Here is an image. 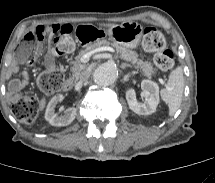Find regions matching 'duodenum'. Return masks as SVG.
Masks as SVG:
<instances>
[{
    "instance_id": "duodenum-1",
    "label": "duodenum",
    "mask_w": 215,
    "mask_h": 183,
    "mask_svg": "<svg viewBox=\"0 0 215 183\" xmlns=\"http://www.w3.org/2000/svg\"><path fill=\"white\" fill-rule=\"evenodd\" d=\"M73 87V83L71 80H67L66 82L63 83L62 88L64 91H69Z\"/></svg>"
}]
</instances>
